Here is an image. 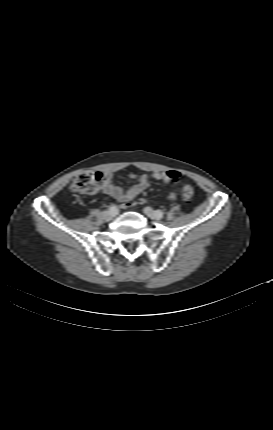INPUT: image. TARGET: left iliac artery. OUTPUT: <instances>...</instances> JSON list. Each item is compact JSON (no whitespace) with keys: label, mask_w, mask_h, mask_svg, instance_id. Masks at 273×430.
Wrapping results in <instances>:
<instances>
[{"label":"left iliac artery","mask_w":273,"mask_h":430,"mask_svg":"<svg viewBox=\"0 0 273 430\" xmlns=\"http://www.w3.org/2000/svg\"><path fill=\"white\" fill-rule=\"evenodd\" d=\"M157 212L161 217L163 216V212L161 210H157Z\"/></svg>","instance_id":"44dca946"}]
</instances>
